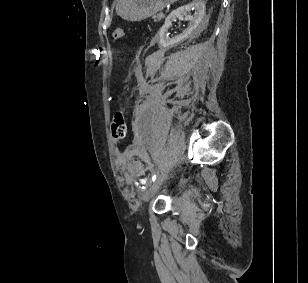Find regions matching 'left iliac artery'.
Wrapping results in <instances>:
<instances>
[{
    "label": "left iliac artery",
    "instance_id": "1",
    "mask_svg": "<svg viewBox=\"0 0 308 283\" xmlns=\"http://www.w3.org/2000/svg\"><path fill=\"white\" fill-rule=\"evenodd\" d=\"M156 175H157V172L154 170V171L152 172V177H151V181H150V182H154V181H155Z\"/></svg>",
    "mask_w": 308,
    "mask_h": 283
}]
</instances>
